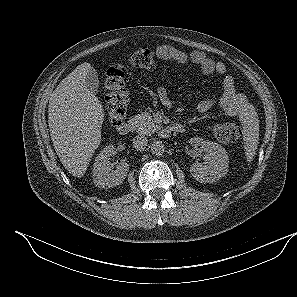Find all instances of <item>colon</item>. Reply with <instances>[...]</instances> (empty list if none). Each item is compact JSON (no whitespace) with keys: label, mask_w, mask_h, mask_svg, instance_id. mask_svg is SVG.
Returning <instances> with one entry per match:
<instances>
[{"label":"colon","mask_w":297,"mask_h":297,"mask_svg":"<svg viewBox=\"0 0 297 297\" xmlns=\"http://www.w3.org/2000/svg\"><path fill=\"white\" fill-rule=\"evenodd\" d=\"M127 65L142 70H151L155 67L154 53L147 47H141L128 55ZM104 85L108 119L113 126H116L123 122L128 104L125 67L121 64H114L108 68ZM213 133L219 142L232 144L239 140L241 128L236 123L223 122L214 127Z\"/></svg>","instance_id":"1"}]
</instances>
